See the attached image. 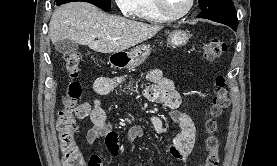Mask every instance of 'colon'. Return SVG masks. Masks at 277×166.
Wrapping results in <instances>:
<instances>
[{"label":"colon","mask_w":277,"mask_h":166,"mask_svg":"<svg viewBox=\"0 0 277 166\" xmlns=\"http://www.w3.org/2000/svg\"><path fill=\"white\" fill-rule=\"evenodd\" d=\"M226 51L227 44L216 38L207 40L202 46V56L207 61H213L221 57ZM64 61L69 82L65 87L63 108L59 112L56 121L63 166H91V161L87 162L85 160L75 141L77 125L74 113L78 108L77 103L82 95V87L78 81L79 56L74 52L68 53L65 55ZM229 103L225 78L218 76L210 107V117L205 123L208 136L206 138L207 154L204 166L219 165V139L216 132L218 130V120L228 108Z\"/></svg>","instance_id":"colon-1"}]
</instances>
